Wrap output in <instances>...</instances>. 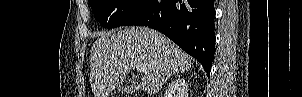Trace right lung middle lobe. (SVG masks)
Here are the masks:
<instances>
[{
	"instance_id": "dd1d6c3e",
	"label": "right lung middle lobe",
	"mask_w": 302,
	"mask_h": 97,
	"mask_svg": "<svg viewBox=\"0 0 302 97\" xmlns=\"http://www.w3.org/2000/svg\"><path fill=\"white\" fill-rule=\"evenodd\" d=\"M145 0H89L96 20L104 28L121 26Z\"/></svg>"
}]
</instances>
